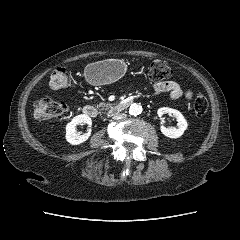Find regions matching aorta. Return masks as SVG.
I'll return each mask as SVG.
<instances>
[{
	"label": "aorta",
	"mask_w": 240,
	"mask_h": 240,
	"mask_svg": "<svg viewBox=\"0 0 240 240\" xmlns=\"http://www.w3.org/2000/svg\"><path fill=\"white\" fill-rule=\"evenodd\" d=\"M129 113L131 115H139L142 113V106L140 104H137V103H133L130 105V108H129Z\"/></svg>",
	"instance_id": "aorta-1"
}]
</instances>
